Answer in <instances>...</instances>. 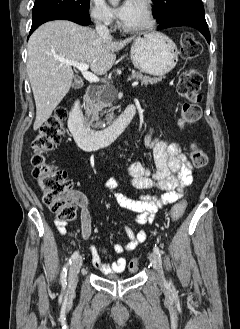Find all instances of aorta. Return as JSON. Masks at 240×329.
<instances>
[{
  "label": "aorta",
  "instance_id": "obj_1",
  "mask_svg": "<svg viewBox=\"0 0 240 329\" xmlns=\"http://www.w3.org/2000/svg\"><path fill=\"white\" fill-rule=\"evenodd\" d=\"M110 2H111L112 4H116V3L118 2V0H110Z\"/></svg>",
  "mask_w": 240,
  "mask_h": 329
}]
</instances>
